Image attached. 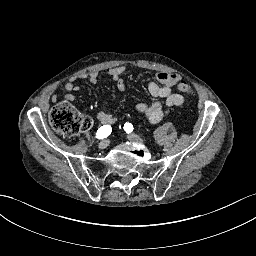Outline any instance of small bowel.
Here are the masks:
<instances>
[{"label":"small bowel","mask_w":256,"mask_h":256,"mask_svg":"<svg viewBox=\"0 0 256 256\" xmlns=\"http://www.w3.org/2000/svg\"><path fill=\"white\" fill-rule=\"evenodd\" d=\"M124 73V66L114 67L108 72L110 77L115 81L119 90L126 89V85L122 78ZM80 78L87 79L91 84H96L99 79V73L97 71H92L88 74L81 75ZM179 81V77L175 74L159 72L156 75V81L150 82L148 84V91L154 98L162 99L164 101V105L167 107L180 106L184 102V96L173 92L175 85H177ZM181 85L182 83L179 84L178 88L180 91L184 92L181 88ZM78 90L79 86L75 83L74 80L67 82L65 85L66 94L64 99L68 102L74 101V92ZM57 100V96L52 97L53 102H56ZM164 105L160 101H156L154 103H140L136 106V111L140 115H143L150 123L155 124L163 119ZM96 118L102 124L112 125L116 122V117L105 111L98 112L96 114Z\"/></svg>","instance_id":"obj_1"}]
</instances>
